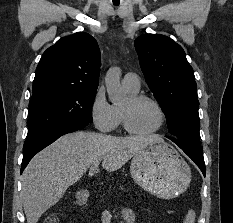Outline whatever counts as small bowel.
Segmentation results:
<instances>
[{
    "label": "small bowel",
    "mask_w": 233,
    "mask_h": 223,
    "mask_svg": "<svg viewBox=\"0 0 233 223\" xmlns=\"http://www.w3.org/2000/svg\"><path fill=\"white\" fill-rule=\"evenodd\" d=\"M121 216L124 223H135V214L132 209L128 207L123 208ZM105 223H109L108 218H106Z\"/></svg>",
    "instance_id": "c3829d8e"
}]
</instances>
